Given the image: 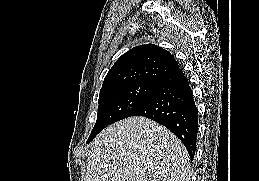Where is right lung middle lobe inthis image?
<instances>
[{"label":"right lung middle lobe","instance_id":"obj_1","mask_svg":"<svg viewBox=\"0 0 259 181\" xmlns=\"http://www.w3.org/2000/svg\"><path fill=\"white\" fill-rule=\"evenodd\" d=\"M156 88L157 84L137 83L100 91L97 120L87 142L108 125L132 116Z\"/></svg>","mask_w":259,"mask_h":181}]
</instances>
